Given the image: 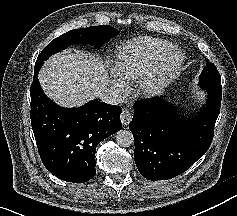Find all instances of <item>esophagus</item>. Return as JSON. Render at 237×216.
Returning <instances> with one entry per match:
<instances>
[{
	"mask_svg": "<svg viewBox=\"0 0 237 216\" xmlns=\"http://www.w3.org/2000/svg\"><path fill=\"white\" fill-rule=\"evenodd\" d=\"M131 120H132L131 112L127 108H125L121 114L122 125L127 126Z\"/></svg>",
	"mask_w": 237,
	"mask_h": 216,
	"instance_id": "obj_1",
	"label": "esophagus"
}]
</instances>
